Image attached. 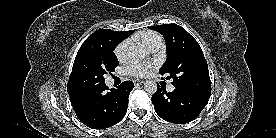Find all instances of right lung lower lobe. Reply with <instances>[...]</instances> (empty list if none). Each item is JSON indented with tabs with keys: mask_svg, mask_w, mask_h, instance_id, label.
Segmentation results:
<instances>
[{
	"mask_svg": "<svg viewBox=\"0 0 276 138\" xmlns=\"http://www.w3.org/2000/svg\"><path fill=\"white\" fill-rule=\"evenodd\" d=\"M133 88L132 81H125L117 89H109L103 84L84 92H69V96L72 107L83 124L92 129H105L124 118Z\"/></svg>",
	"mask_w": 276,
	"mask_h": 138,
	"instance_id": "1",
	"label": "right lung lower lobe"
}]
</instances>
